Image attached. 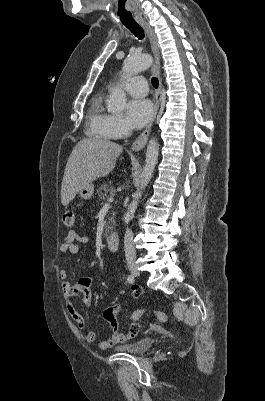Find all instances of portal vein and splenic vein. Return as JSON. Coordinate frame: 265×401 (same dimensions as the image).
<instances>
[{
  "label": "portal vein and splenic vein",
  "instance_id": "obj_1",
  "mask_svg": "<svg viewBox=\"0 0 265 401\" xmlns=\"http://www.w3.org/2000/svg\"><path fill=\"white\" fill-rule=\"evenodd\" d=\"M108 201H113L112 196H110V198H108ZM109 205L108 203H106V205H104V207H102V209H108Z\"/></svg>",
  "mask_w": 265,
  "mask_h": 401
}]
</instances>
